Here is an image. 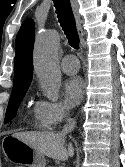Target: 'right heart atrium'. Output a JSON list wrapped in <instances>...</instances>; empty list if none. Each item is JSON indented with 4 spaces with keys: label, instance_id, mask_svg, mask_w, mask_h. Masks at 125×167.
I'll return each mask as SVG.
<instances>
[{
    "label": "right heart atrium",
    "instance_id": "1",
    "mask_svg": "<svg viewBox=\"0 0 125 167\" xmlns=\"http://www.w3.org/2000/svg\"><path fill=\"white\" fill-rule=\"evenodd\" d=\"M34 113L45 128H55L69 116L70 110L60 101L42 99L35 103Z\"/></svg>",
    "mask_w": 125,
    "mask_h": 167
}]
</instances>
